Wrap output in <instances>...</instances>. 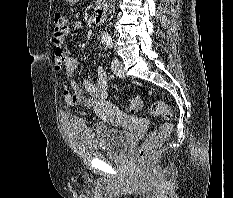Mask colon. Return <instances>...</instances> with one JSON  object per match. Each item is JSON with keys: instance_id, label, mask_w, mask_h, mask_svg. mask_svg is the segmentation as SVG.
Instances as JSON below:
<instances>
[{"instance_id": "1", "label": "colon", "mask_w": 233, "mask_h": 198, "mask_svg": "<svg viewBox=\"0 0 233 198\" xmlns=\"http://www.w3.org/2000/svg\"><path fill=\"white\" fill-rule=\"evenodd\" d=\"M66 24L64 17L56 12L54 15V31H61ZM142 108V101L138 97L131 98L127 103V110L135 114ZM151 113L154 116H162L164 123L156 130L152 131L145 139V141L138 148V158L140 161H145L149 152L158 147L173 131V111L164 102L157 101L151 105Z\"/></svg>"}]
</instances>
